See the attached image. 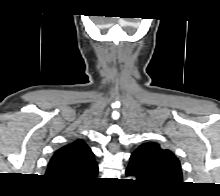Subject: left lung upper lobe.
Masks as SVG:
<instances>
[{
  "mask_svg": "<svg viewBox=\"0 0 220 196\" xmlns=\"http://www.w3.org/2000/svg\"><path fill=\"white\" fill-rule=\"evenodd\" d=\"M131 158L144 180L158 190H167L182 183V171L178 158L159 144L147 142L140 145Z\"/></svg>",
  "mask_w": 220,
  "mask_h": 196,
  "instance_id": "1",
  "label": "left lung upper lobe"
}]
</instances>
